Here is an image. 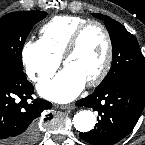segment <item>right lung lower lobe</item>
<instances>
[{
	"label": "right lung lower lobe",
	"mask_w": 145,
	"mask_h": 145,
	"mask_svg": "<svg viewBox=\"0 0 145 145\" xmlns=\"http://www.w3.org/2000/svg\"><path fill=\"white\" fill-rule=\"evenodd\" d=\"M33 93L23 70L0 69V145H35L38 117L52 104L42 99L27 102Z\"/></svg>",
	"instance_id": "98d812e1"
}]
</instances>
